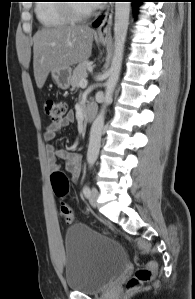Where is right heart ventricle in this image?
I'll return each instance as SVG.
<instances>
[{
    "label": "right heart ventricle",
    "instance_id": "1",
    "mask_svg": "<svg viewBox=\"0 0 195 299\" xmlns=\"http://www.w3.org/2000/svg\"><path fill=\"white\" fill-rule=\"evenodd\" d=\"M60 0H43L37 3L35 13L44 27H61L71 24L72 19L64 9Z\"/></svg>",
    "mask_w": 195,
    "mask_h": 299
}]
</instances>
